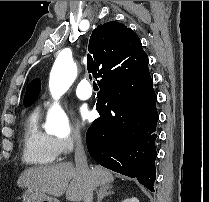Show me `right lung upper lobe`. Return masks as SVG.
I'll return each instance as SVG.
<instances>
[{
  "label": "right lung upper lobe",
  "instance_id": "1",
  "mask_svg": "<svg viewBox=\"0 0 209 202\" xmlns=\"http://www.w3.org/2000/svg\"><path fill=\"white\" fill-rule=\"evenodd\" d=\"M88 49L87 69L104 89L116 90L133 84L148 71V57L139 37L121 23L98 25Z\"/></svg>",
  "mask_w": 209,
  "mask_h": 202
}]
</instances>
